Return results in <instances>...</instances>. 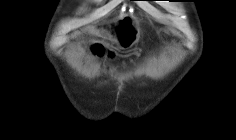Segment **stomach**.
<instances>
[{
  "label": "stomach",
  "mask_w": 236,
  "mask_h": 140,
  "mask_svg": "<svg viewBox=\"0 0 236 140\" xmlns=\"http://www.w3.org/2000/svg\"><path fill=\"white\" fill-rule=\"evenodd\" d=\"M113 29L116 27L115 35L118 44L123 48H128L132 46L139 38L140 27L138 23L130 18L126 17L120 22H100V25H92V30H103ZM96 35V32H93Z\"/></svg>",
  "instance_id": "stomach-1"
}]
</instances>
